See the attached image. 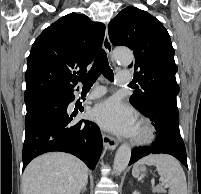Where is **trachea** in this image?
I'll use <instances>...</instances> for the list:
<instances>
[{"mask_svg": "<svg viewBox=\"0 0 201 194\" xmlns=\"http://www.w3.org/2000/svg\"><path fill=\"white\" fill-rule=\"evenodd\" d=\"M100 74H103L111 82L114 81V74L103 49L98 52L91 70L86 75L79 77L78 80L83 84L84 89H90Z\"/></svg>", "mask_w": 201, "mask_h": 194, "instance_id": "1", "label": "trachea"}]
</instances>
